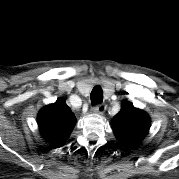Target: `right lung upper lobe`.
<instances>
[{"instance_id": "obj_1", "label": "right lung upper lobe", "mask_w": 179, "mask_h": 179, "mask_svg": "<svg viewBox=\"0 0 179 179\" xmlns=\"http://www.w3.org/2000/svg\"><path fill=\"white\" fill-rule=\"evenodd\" d=\"M37 119L41 135L54 147L66 142L76 121L63 98L42 108Z\"/></svg>"}]
</instances>
